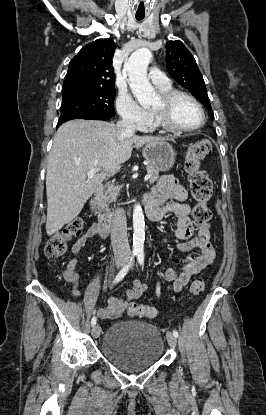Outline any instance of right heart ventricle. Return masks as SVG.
<instances>
[{
  "label": "right heart ventricle",
  "mask_w": 266,
  "mask_h": 415,
  "mask_svg": "<svg viewBox=\"0 0 266 415\" xmlns=\"http://www.w3.org/2000/svg\"><path fill=\"white\" fill-rule=\"evenodd\" d=\"M159 88V90L162 92V91H167V90H171L172 88H171V85L169 84V85H167V86H162V87H158ZM150 126L151 127H158L159 126V124L157 123V121H156V119H153V116H152V121H151V123H150Z\"/></svg>",
  "instance_id": "1"
}]
</instances>
